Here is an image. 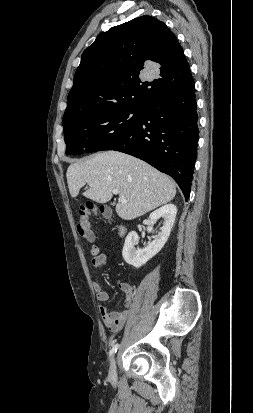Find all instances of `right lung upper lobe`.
I'll use <instances>...</instances> for the list:
<instances>
[{
    "mask_svg": "<svg viewBox=\"0 0 253 413\" xmlns=\"http://www.w3.org/2000/svg\"><path fill=\"white\" fill-rule=\"evenodd\" d=\"M155 62V78L146 80ZM192 79L176 36L165 23L141 16L100 33L82 54L62 125L116 108H141Z\"/></svg>",
    "mask_w": 253,
    "mask_h": 413,
    "instance_id": "1",
    "label": "right lung upper lobe"
}]
</instances>
